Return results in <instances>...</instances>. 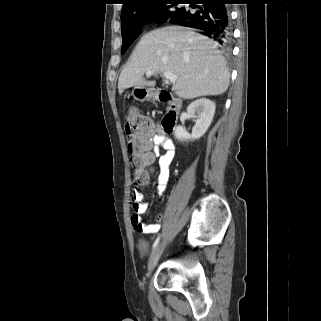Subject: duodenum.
Segmentation results:
<instances>
[{"label":"duodenum","instance_id":"410a0bca","mask_svg":"<svg viewBox=\"0 0 321 321\" xmlns=\"http://www.w3.org/2000/svg\"><path fill=\"white\" fill-rule=\"evenodd\" d=\"M153 96L160 102L167 103L169 109L162 120L164 130L171 133L178 121V117L182 108V102L175 97L171 92L165 89H156Z\"/></svg>","mask_w":321,"mask_h":321}]
</instances>
